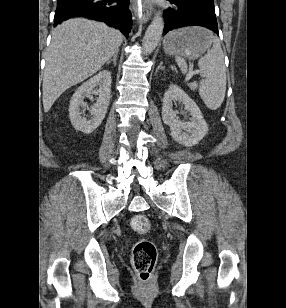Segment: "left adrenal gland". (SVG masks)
Here are the masks:
<instances>
[{
    "instance_id": "a2214340",
    "label": "left adrenal gland",
    "mask_w": 286,
    "mask_h": 308,
    "mask_svg": "<svg viewBox=\"0 0 286 308\" xmlns=\"http://www.w3.org/2000/svg\"><path fill=\"white\" fill-rule=\"evenodd\" d=\"M163 69H164L163 63L161 62V63L159 64V66L157 67L155 74H156L159 70H163Z\"/></svg>"
}]
</instances>
